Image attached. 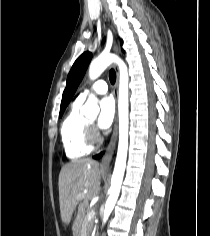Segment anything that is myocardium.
Masks as SVG:
<instances>
[{
  "label": "myocardium",
  "instance_id": "1",
  "mask_svg": "<svg viewBox=\"0 0 210 236\" xmlns=\"http://www.w3.org/2000/svg\"><path fill=\"white\" fill-rule=\"evenodd\" d=\"M87 142L92 147L100 142V138L93 132L91 123L87 122Z\"/></svg>",
  "mask_w": 210,
  "mask_h": 236
}]
</instances>
